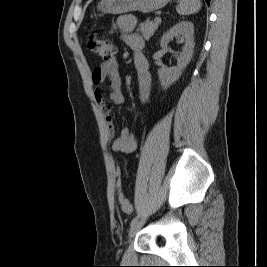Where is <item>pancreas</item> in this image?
Returning <instances> with one entry per match:
<instances>
[{
	"label": "pancreas",
	"instance_id": "obj_1",
	"mask_svg": "<svg viewBox=\"0 0 267 267\" xmlns=\"http://www.w3.org/2000/svg\"><path fill=\"white\" fill-rule=\"evenodd\" d=\"M160 22L150 21L149 19L146 22H143L139 25L138 31H140L145 40H149L150 37L155 33L158 29Z\"/></svg>",
	"mask_w": 267,
	"mask_h": 267
}]
</instances>
